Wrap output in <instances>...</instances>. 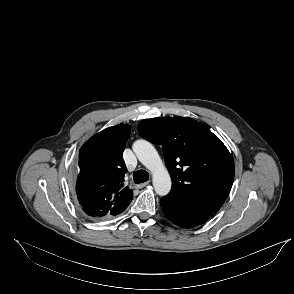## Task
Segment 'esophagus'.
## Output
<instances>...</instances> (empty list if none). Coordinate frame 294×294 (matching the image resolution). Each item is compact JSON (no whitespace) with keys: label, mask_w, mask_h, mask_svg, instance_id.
Returning <instances> with one entry per match:
<instances>
[{"label":"esophagus","mask_w":294,"mask_h":294,"mask_svg":"<svg viewBox=\"0 0 294 294\" xmlns=\"http://www.w3.org/2000/svg\"><path fill=\"white\" fill-rule=\"evenodd\" d=\"M148 184H149V181L136 185V188L140 189L147 186Z\"/></svg>","instance_id":"34e87169"}]
</instances>
